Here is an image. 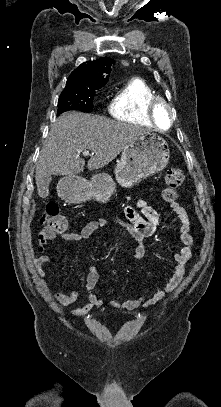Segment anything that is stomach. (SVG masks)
<instances>
[{
  "label": "stomach",
  "instance_id": "stomach-1",
  "mask_svg": "<svg viewBox=\"0 0 221 407\" xmlns=\"http://www.w3.org/2000/svg\"><path fill=\"white\" fill-rule=\"evenodd\" d=\"M170 149L157 133L146 132L130 142L122 151L115 167V179L124 188L139 184L145 178L161 172L168 164ZM116 184L107 173H98L90 181L67 176L58 184V193L66 202L80 204L89 200L106 203Z\"/></svg>",
  "mask_w": 221,
  "mask_h": 407
}]
</instances>
